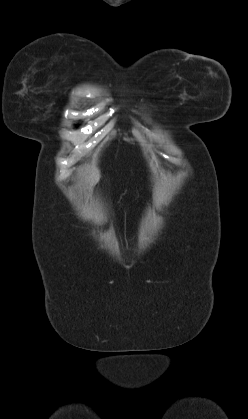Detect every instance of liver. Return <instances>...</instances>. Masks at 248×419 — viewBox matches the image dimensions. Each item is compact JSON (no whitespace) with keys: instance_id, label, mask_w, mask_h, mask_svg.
<instances>
[{"instance_id":"1","label":"liver","mask_w":248,"mask_h":419,"mask_svg":"<svg viewBox=\"0 0 248 419\" xmlns=\"http://www.w3.org/2000/svg\"><path fill=\"white\" fill-rule=\"evenodd\" d=\"M89 173V174H87ZM87 173L85 174L86 178L88 179V182L91 186H94L99 179V174L97 172H90L87 170Z\"/></svg>"}]
</instances>
